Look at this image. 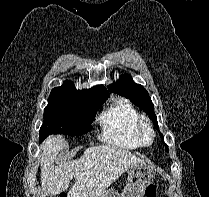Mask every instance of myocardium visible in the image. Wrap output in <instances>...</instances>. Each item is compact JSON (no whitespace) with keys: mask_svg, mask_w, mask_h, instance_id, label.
<instances>
[{"mask_svg":"<svg viewBox=\"0 0 209 197\" xmlns=\"http://www.w3.org/2000/svg\"><path fill=\"white\" fill-rule=\"evenodd\" d=\"M148 134V139L146 138ZM155 130L151 122L147 118H139L136 125V137L139 145L150 146L155 140Z\"/></svg>","mask_w":209,"mask_h":197,"instance_id":"f54148a6","label":"myocardium"}]
</instances>
